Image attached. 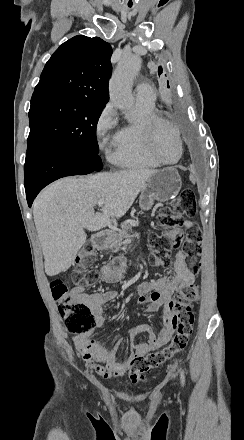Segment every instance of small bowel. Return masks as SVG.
Masks as SVG:
<instances>
[{
	"instance_id": "1",
	"label": "small bowel",
	"mask_w": 244,
	"mask_h": 440,
	"mask_svg": "<svg viewBox=\"0 0 244 440\" xmlns=\"http://www.w3.org/2000/svg\"><path fill=\"white\" fill-rule=\"evenodd\" d=\"M192 222L187 220L184 223L186 228ZM157 264L162 262L156 260ZM170 263L172 275L170 278L161 277L151 281H145L137 287L138 302L146 305L148 313L157 312L162 308L164 325L159 333H155L150 325H142L129 337L130 355L121 360H117L119 343L112 347H107L100 340L90 337V334H74L73 343L79 357L86 367L105 379L123 376L130 368L134 353H149L164 346L174 332L172 318L173 295L185 285L194 284L196 277L186 264L185 253L178 250L171 254ZM127 269V261L123 257L115 258L110 264L103 266L98 278L105 283L113 284L122 279ZM82 274V272H80ZM71 294L76 300H86L92 313L96 318L97 325H103L104 304L117 297V292L113 290H103L96 292H86L81 283H77L72 289ZM144 332L149 335V340L144 343H136L134 338L137 333Z\"/></svg>"
}]
</instances>
